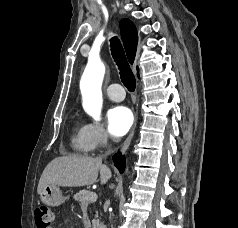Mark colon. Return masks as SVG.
Segmentation results:
<instances>
[{
  "label": "colon",
  "mask_w": 238,
  "mask_h": 228,
  "mask_svg": "<svg viewBox=\"0 0 238 228\" xmlns=\"http://www.w3.org/2000/svg\"><path fill=\"white\" fill-rule=\"evenodd\" d=\"M54 222V213L45 205L36 207L35 224L37 228H52Z\"/></svg>",
  "instance_id": "colon-1"
}]
</instances>
